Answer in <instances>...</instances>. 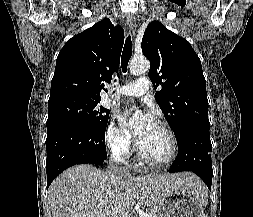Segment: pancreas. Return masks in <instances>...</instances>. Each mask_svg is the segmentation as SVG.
I'll return each instance as SVG.
<instances>
[{
	"label": "pancreas",
	"mask_w": 253,
	"mask_h": 217,
	"mask_svg": "<svg viewBox=\"0 0 253 217\" xmlns=\"http://www.w3.org/2000/svg\"><path fill=\"white\" fill-rule=\"evenodd\" d=\"M148 213H149L150 217H159L157 212H155L153 210L149 211Z\"/></svg>",
	"instance_id": "pancreas-1"
}]
</instances>
